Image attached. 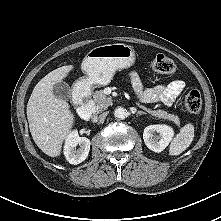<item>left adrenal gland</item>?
I'll return each mask as SVG.
<instances>
[{
    "label": "left adrenal gland",
    "instance_id": "1",
    "mask_svg": "<svg viewBox=\"0 0 221 221\" xmlns=\"http://www.w3.org/2000/svg\"><path fill=\"white\" fill-rule=\"evenodd\" d=\"M145 114H146V113H145V112H142V111H138V112H137V116H138V115H145Z\"/></svg>",
    "mask_w": 221,
    "mask_h": 221
}]
</instances>
